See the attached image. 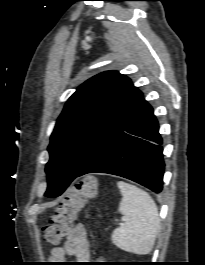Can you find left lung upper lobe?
Wrapping results in <instances>:
<instances>
[{
	"label": "left lung upper lobe",
	"mask_w": 205,
	"mask_h": 265,
	"mask_svg": "<svg viewBox=\"0 0 205 265\" xmlns=\"http://www.w3.org/2000/svg\"><path fill=\"white\" fill-rule=\"evenodd\" d=\"M142 99V92L117 71L102 72L80 85L65 104L51 135L45 196L61 195Z\"/></svg>",
	"instance_id": "5c2ea615"
}]
</instances>
